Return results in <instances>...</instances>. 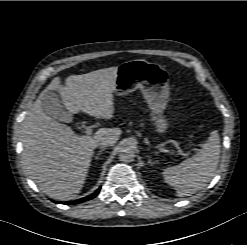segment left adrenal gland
Instances as JSON below:
<instances>
[{"label":"left adrenal gland","mask_w":247,"mask_h":245,"mask_svg":"<svg viewBox=\"0 0 247 245\" xmlns=\"http://www.w3.org/2000/svg\"><path fill=\"white\" fill-rule=\"evenodd\" d=\"M147 157H148V163H149L150 165H153L154 163L157 162V161H152L150 155H147Z\"/></svg>","instance_id":"obj_1"}]
</instances>
